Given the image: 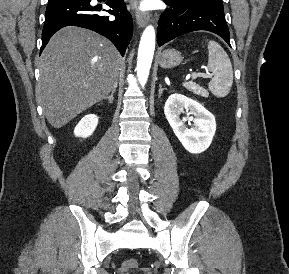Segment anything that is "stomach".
Listing matches in <instances>:
<instances>
[{"label":"stomach","instance_id":"stomach-1","mask_svg":"<svg viewBox=\"0 0 289 274\" xmlns=\"http://www.w3.org/2000/svg\"><path fill=\"white\" fill-rule=\"evenodd\" d=\"M183 57L176 49H167L160 54L159 64L164 69H171L181 64Z\"/></svg>","mask_w":289,"mask_h":274}]
</instances>
